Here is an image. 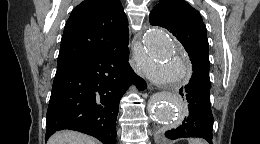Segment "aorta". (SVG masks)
<instances>
[{
	"label": "aorta",
	"instance_id": "obj_1",
	"mask_svg": "<svg viewBox=\"0 0 260 144\" xmlns=\"http://www.w3.org/2000/svg\"><path fill=\"white\" fill-rule=\"evenodd\" d=\"M142 52L138 65L152 83L176 85L187 76V58L164 29L152 26L146 31ZM149 108L151 117L164 124L175 125L182 116V100L176 93L153 95Z\"/></svg>",
	"mask_w": 260,
	"mask_h": 144
}]
</instances>
